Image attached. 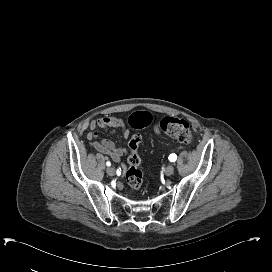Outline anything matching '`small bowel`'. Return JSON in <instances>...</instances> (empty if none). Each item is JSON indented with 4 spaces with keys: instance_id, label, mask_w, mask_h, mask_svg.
Segmentation results:
<instances>
[{
    "instance_id": "c3829d8e",
    "label": "small bowel",
    "mask_w": 272,
    "mask_h": 272,
    "mask_svg": "<svg viewBox=\"0 0 272 272\" xmlns=\"http://www.w3.org/2000/svg\"><path fill=\"white\" fill-rule=\"evenodd\" d=\"M98 128L106 129L109 130L110 132L119 130L121 131L123 136L127 138L129 137L130 132L128 128L125 126L124 121L116 116H103L97 118L90 123L91 132H89L87 135V139L92 142V145L95 150L110 156V158L114 162L119 163L123 155L125 154V150L108 139L98 140L96 131ZM153 131L158 138L161 139L163 138L159 127L154 126ZM129 158L134 159L137 165L140 164L141 158L139 155V147L129 148ZM121 168L123 172L126 170L125 165H122Z\"/></svg>"
}]
</instances>
